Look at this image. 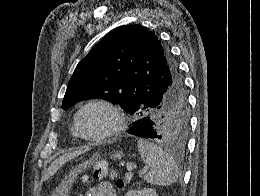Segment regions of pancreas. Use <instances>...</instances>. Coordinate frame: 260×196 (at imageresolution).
Masks as SVG:
<instances>
[{
  "instance_id": "obj_1",
  "label": "pancreas",
  "mask_w": 260,
  "mask_h": 196,
  "mask_svg": "<svg viewBox=\"0 0 260 196\" xmlns=\"http://www.w3.org/2000/svg\"><path fill=\"white\" fill-rule=\"evenodd\" d=\"M131 178H132V174H125V178H124L125 184H129Z\"/></svg>"
}]
</instances>
